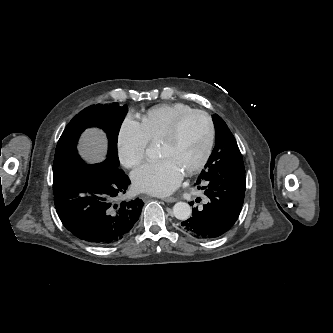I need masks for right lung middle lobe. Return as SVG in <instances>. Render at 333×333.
<instances>
[{
    "label": "right lung middle lobe",
    "instance_id": "1",
    "mask_svg": "<svg viewBox=\"0 0 333 333\" xmlns=\"http://www.w3.org/2000/svg\"><path fill=\"white\" fill-rule=\"evenodd\" d=\"M127 112V106L92 105L77 114L63 131L56 147L53 174L54 176L84 163L77 153V142L80 134L89 127H99L108 137V155L119 164L117 138L121 123Z\"/></svg>",
    "mask_w": 333,
    "mask_h": 333
}]
</instances>
